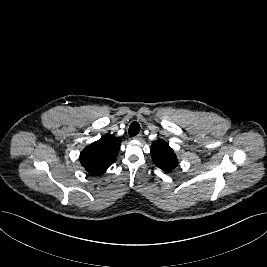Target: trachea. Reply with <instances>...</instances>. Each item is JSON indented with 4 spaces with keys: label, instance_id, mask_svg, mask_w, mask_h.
<instances>
[{
    "label": "trachea",
    "instance_id": "1",
    "mask_svg": "<svg viewBox=\"0 0 267 267\" xmlns=\"http://www.w3.org/2000/svg\"><path fill=\"white\" fill-rule=\"evenodd\" d=\"M140 132V125L138 122L134 121L129 126V136L134 137Z\"/></svg>",
    "mask_w": 267,
    "mask_h": 267
}]
</instances>
